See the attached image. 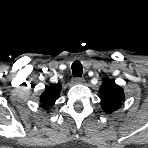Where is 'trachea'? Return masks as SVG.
<instances>
[{"label": "trachea", "mask_w": 148, "mask_h": 148, "mask_svg": "<svg viewBox=\"0 0 148 148\" xmlns=\"http://www.w3.org/2000/svg\"><path fill=\"white\" fill-rule=\"evenodd\" d=\"M72 74L75 77H81L83 73V66L79 61H74L72 63Z\"/></svg>", "instance_id": "3493384b"}]
</instances>
